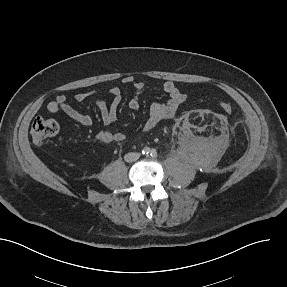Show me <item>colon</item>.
I'll use <instances>...</instances> for the list:
<instances>
[{
    "label": "colon",
    "instance_id": "1",
    "mask_svg": "<svg viewBox=\"0 0 287 287\" xmlns=\"http://www.w3.org/2000/svg\"><path fill=\"white\" fill-rule=\"evenodd\" d=\"M220 108L225 113L233 111V105L230 102H222ZM30 133L36 145H43L58 135L59 125L54 119L38 117L33 121Z\"/></svg>",
    "mask_w": 287,
    "mask_h": 287
}]
</instances>
